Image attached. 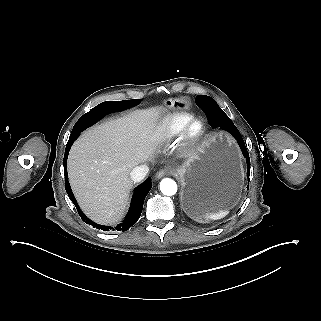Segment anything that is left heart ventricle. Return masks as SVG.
I'll return each mask as SVG.
<instances>
[{"label": "left heart ventricle", "instance_id": "left-heart-ventricle-1", "mask_svg": "<svg viewBox=\"0 0 321 321\" xmlns=\"http://www.w3.org/2000/svg\"><path fill=\"white\" fill-rule=\"evenodd\" d=\"M196 131V127L193 128L192 132L194 133Z\"/></svg>", "mask_w": 321, "mask_h": 321}]
</instances>
